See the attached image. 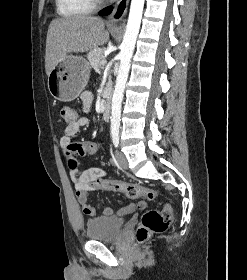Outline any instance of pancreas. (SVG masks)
<instances>
[{
  "instance_id": "1",
  "label": "pancreas",
  "mask_w": 247,
  "mask_h": 280,
  "mask_svg": "<svg viewBox=\"0 0 247 280\" xmlns=\"http://www.w3.org/2000/svg\"><path fill=\"white\" fill-rule=\"evenodd\" d=\"M87 58L90 62L91 67L96 71H98L99 68L103 66L102 61H106L104 56V50L98 47L91 50L88 53Z\"/></svg>"
}]
</instances>
